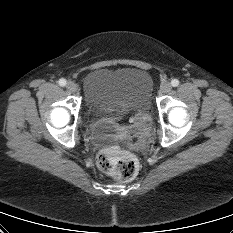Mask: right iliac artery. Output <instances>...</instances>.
<instances>
[{
	"label": "right iliac artery",
	"instance_id": "1",
	"mask_svg": "<svg viewBox=\"0 0 233 233\" xmlns=\"http://www.w3.org/2000/svg\"><path fill=\"white\" fill-rule=\"evenodd\" d=\"M59 85L64 87L66 85V80L64 78H61L59 81H58Z\"/></svg>",
	"mask_w": 233,
	"mask_h": 233
}]
</instances>
